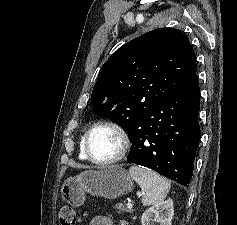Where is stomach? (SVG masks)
Here are the masks:
<instances>
[{"instance_id": "0dacf381", "label": "stomach", "mask_w": 237, "mask_h": 225, "mask_svg": "<svg viewBox=\"0 0 237 225\" xmlns=\"http://www.w3.org/2000/svg\"><path fill=\"white\" fill-rule=\"evenodd\" d=\"M130 174L121 166H110L101 170H86L66 179L61 187L62 198L72 206H81L85 193L116 199L133 190Z\"/></svg>"}]
</instances>
